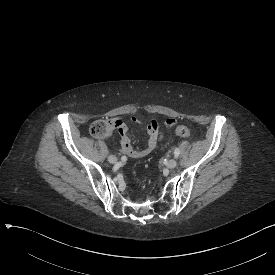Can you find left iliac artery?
<instances>
[{
  "label": "left iliac artery",
  "mask_w": 275,
  "mask_h": 275,
  "mask_svg": "<svg viewBox=\"0 0 275 275\" xmlns=\"http://www.w3.org/2000/svg\"><path fill=\"white\" fill-rule=\"evenodd\" d=\"M179 154H180L179 149H178V148H175V150H174V157H175V158H178Z\"/></svg>",
  "instance_id": "44dca946"
}]
</instances>
